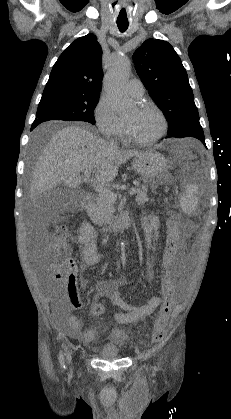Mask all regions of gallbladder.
I'll use <instances>...</instances> for the list:
<instances>
[{"label": "gallbladder", "instance_id": "bac80fb5", "mask_svg": "<svg viewBox=\"0 0 231 419\" xmlns=\"http://www.w3.org/2000/svg\"><path fill=\"white\" fill-rule=\"evenodd\" d=\"M66 197V192H62V189L55 187L41 196L39 205L44 207L47 211L52 212L65 201Z\"/></svg>", "mask_w": 231, "mask_h": 419}]
</instances>
